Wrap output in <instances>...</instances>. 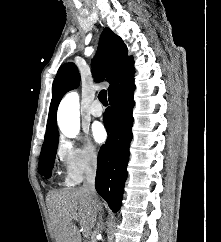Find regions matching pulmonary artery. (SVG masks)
I'll list each match as a JSON object with an SVG mask.
<instances>
[{
    "label": "pulmonary artery",
    "mask_w": 221,
    "mask_h": 242,
    "mask_svg": "<svg viewBox=\"0 0 221 242\" xmlns=\"http://www.w3.org/2000/svg\"><path fill=\"white\" fill-rule=\"evenodd\" d=\"M90 114L93 117H100L103 114V108L98 100H95L90 107Z\"/></svg>",
    "instance_id": "1"
}]
</instances>
